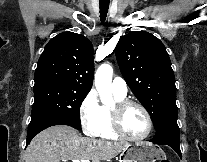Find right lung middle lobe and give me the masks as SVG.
Here are the masks:
<instances>
[{
  "label": "right lung middle lobe",
  "mask_w": 207,
  "mask_h": 162,
  "mask_svg": "<svg viewBox=\"0 0 207 162\" xmlns=\"http://www.w3.org/2000/svg\"><path fill=\"white\" fill-rule=\"evenodd\" d=\"M88 92L58 86L34 88L31 119L39 116H57L81 127L80 106Z\"/></svg>",
  "instance_id": "1"
}]
</instances>
